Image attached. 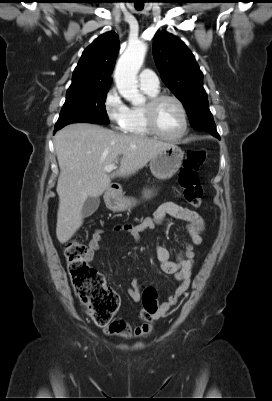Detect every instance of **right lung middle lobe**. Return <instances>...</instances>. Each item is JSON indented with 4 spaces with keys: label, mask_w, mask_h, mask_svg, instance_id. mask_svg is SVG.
<instances>
[{
    "label": "right lung middle lobe",
    "mask_w": 272,
    "mask_h": 401,
    "mask_svg": "<svg viewBox=\"0 0 272 401\" xmlns=\"http://www.w3.org/2000/svg\"><path fill=\"white\" fill-rule=\"evenodd\" d=\"M109 88L99 87L66 94L55 130L78 122L108 124L105 100Z\"/></svg>",
    "instance_id": "right-lung-middle-lobe-1"
}]
</instances>
